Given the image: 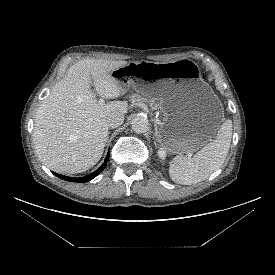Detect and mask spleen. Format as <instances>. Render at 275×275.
<instances>
[{
  "label": "spleen",
  "mask_w": 275,
  "mask_h": 275,
  "mask_svg": "<svg viewBox=\"0 0 275 275\" xmlns=\"http://www.w3.org/2000/svg\"><path fill=\"white\" fill-rule=\"evenodd\" d=\"M232 138V121L226 120L216 138L206 144L192 158L178 155L169 167L171 179L182 185H191L207 179L224 163Z\"/></svg>",
  "instance_id": "obj_1"
}]
</instances>
